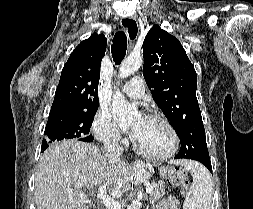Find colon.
I'll return each mask as SVG.
<instances>
[{
  "label": "colon",
  "instance_id": "obj_1",
  "mask_svg": "<svg viewBox=\"0 0 253 209\" xmlns=\"http://www.w3.org/2000/svg\"><path fill=\"white\" fill-rule=\"evenodd\" d=\"M168 182L173 186H180L186 192L189 186L187 174L179 169H172L168 173Z\"/></svg>",
  "mask_w": 253,
  "mask_h": 209
}]
</instances>
